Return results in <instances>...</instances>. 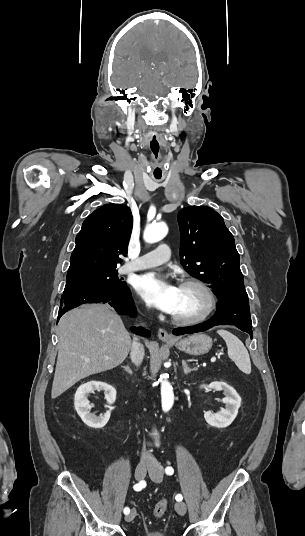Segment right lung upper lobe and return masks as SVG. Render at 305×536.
I'll return each mask as SVG.
<instances>
[{"mask_svg": "<svg viewBox=\"0 0 305 536\" xmlns=\"http://www.w3.org/2000/svg\"><path fill=\"white\" fill-rule=\"evenodd\" d=\"M131 230L129 207L106 204L95 210L76 236L66 278L116 270L119 256L127 254Z\"/></svg>", "mask_w": 305, "mask_h": 536, "instance_id": "obj_1", "label": "right lung upper lobe"}]
</instances>
